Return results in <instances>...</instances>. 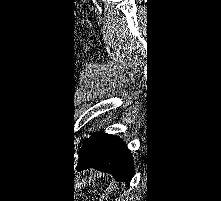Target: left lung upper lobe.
I'll return each mask as SVG.
<instances>
[{
	"label": "left lung upper lobe",
	"mask_w": 221,
	"mask_h": 201,
	"mask_svg": "<svg viewBox=\"0 0 221 201\" xmlns=\"http://www.w3.org/2000/svg\"><path fill=\"white\" fill-rule=\"evenodd\" d=\"M91 137L89 139H86V141L84 142L82 148L79 151H82L83 149H85L89 144L92 143V141L94 140V138L96 137L97 133H90Z\"/></svg>",
	"instance_id": "left-lung-upper-lobe-1"
}]
</instances>
